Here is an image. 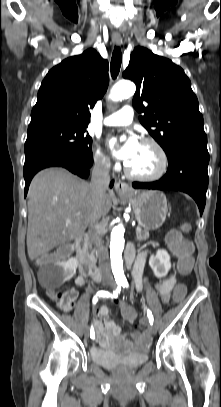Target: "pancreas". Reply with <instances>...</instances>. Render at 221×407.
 Returning a JSON list of instances; mask_svg holds the SVG:
<instances>
[{
    "label": "pancreas",
    "mask_w": 221,
    "mask_h": 407,
    "mask_svg": "<svg viewBox=\"0 0 221 407\" xmlns=\"http://www.w3.org/2000/svg\"><path fill=\"white\" fill-rule=\"evenodd\" d=\"M149 238V232L148 231H138L136 232V239L138 241H145Z\"/></svg>",
    "instance_id": "cf45deb5"
}]
</instances>
